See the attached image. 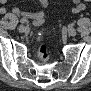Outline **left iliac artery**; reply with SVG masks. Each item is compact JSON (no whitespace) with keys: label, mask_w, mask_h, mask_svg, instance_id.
<instances>
[{"label":"left iliac artery","mask_w":91,"mask_h":91,"mask_svg":"<svg viewBox=\"0 0 91 91\" xmlns=\"http://www.w3.org/2000/svg\"><path fill=\"white\" fill-rule=\"evenodd\" d=\"M74 27H75V24H74V23H70V24H69V28H70V29H73Z\"/></svg>","instance_id":"obj_1"}]
</instances>
